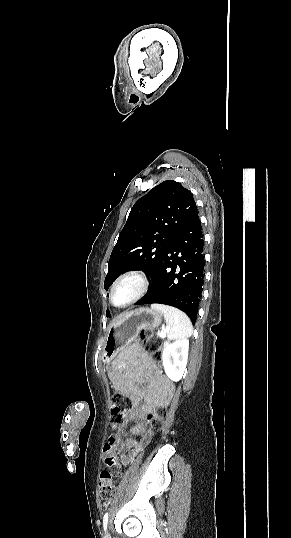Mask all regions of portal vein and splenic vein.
Here are the masks:
<instances>
[{"label":"portal vein and splenic vein","mask_w":291,"mask_h":538,"mask_svg":"<svg viewBox=\"0 0 291 538\" xmlns=\"http://www.w3.org/2000/svg\"><path fill=\"white\" fill-rule=\"evenodd\" d=\"M159 336L164 338L166 336V331L159 332Z\"/></svg>","instance_id":"portal-vein-and-splenic-vein-1"}]
</instances>
